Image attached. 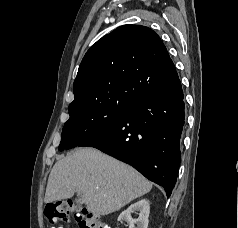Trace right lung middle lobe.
Instances as JSON below:
<instances>
[{
    "instance_id": "1",
    "label": "right lung middle lobe",
    "mask_w": 238,
    "mask_h": 228,
    "mask_svg": "<svg viewBox=\"0 0 238 228\" xmlns=\"http://www.w3.org/2000/svg\"><path fill=\"white\" fill-rule=\"evenodd\" d=\"M128 105H94L69 113L59 150L74 148L97 135L116 122Z\"/></svg>"
}]
</instances>
